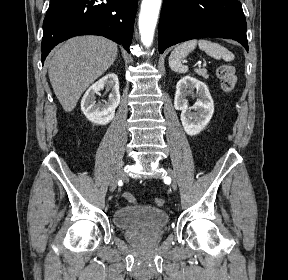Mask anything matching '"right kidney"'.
<instances>
[{"instance_id":"right-kidney-1","label":"right kidney","mask_w":288,"mask_h":280,"mask_svg":"<svg viewBox=\"0 0 288 280\" xmlns=\"http://www.w3.org/2000/svg\"><path fill=\"white\" fill-rule=\"evenodd\" d=\"M106 88L110 91L105 103L96 102V95ZM120 104L119 81L114 73H109L94 83L81 100V110L86 118L94 124L106 125L113 120L115 109Z\"/></svg>"}]
</instances>
